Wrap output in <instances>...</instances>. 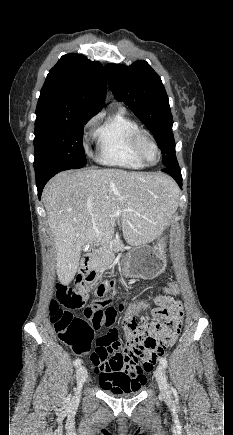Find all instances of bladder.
Here are the masks:
<instances>
[{"label": "bladder", "instance_id": "1", "mask_svg": "<svg viewBox=\"0 0 233 435\" xmlns=\"http://www.w3.org/2000/svg\"><path fill=\"white\" fill-rule=\"evenodd\" d=\"M144 385L145 384L143 382H141L140 384H134L133 389L130 392L118 393L106 388L103 389V392L114 398H132L139 395L142 392Z\"/></svg>", "mask_w": 233, "mask_h": 435}]
</instances>
